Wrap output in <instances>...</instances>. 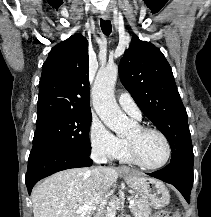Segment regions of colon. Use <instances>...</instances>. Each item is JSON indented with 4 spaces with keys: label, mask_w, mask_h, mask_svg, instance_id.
Here are the masks:
<instances>
[{
    "label": "colon",
    "mask_w": 211,
    "mask_h": 217,
    "mask_svg": "<svg viewBox=\"0 0 211 217\" xmlns=\"http://www.w3.org/2000/svg\"><path fill=\"white\" fill-rule=\"evenodd\" d=\"M155 217H180V216L176 212L160 211L155 215Z\"/></svg>",
    "instance_id": "5ec220e1"
}]
</instances>
